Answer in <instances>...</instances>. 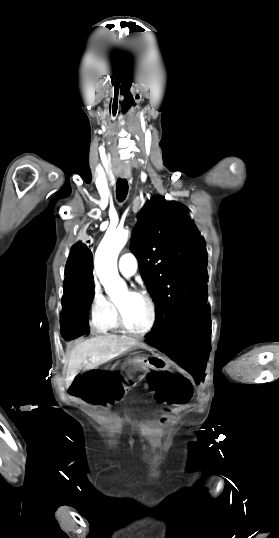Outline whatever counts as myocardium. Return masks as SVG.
<instances>
[{
  "mask_svg": "<svg viewBox=\"0 0 279 538\" xmlns=\"http://www.w3.org/2000/svg\"><path fill=\"white\" fill-rule=\"evenodd\" d=\"M106 223H102L100 227L105 226ZM127 291L133 295L143 298L146 303L148 304L149 310H150V318L149 322L146 325V327L142 330H134L129 327L126 321L125 312H124V305L122 301L117 299V315H118V321L121 329L126 332L127 334L134 336V337H145L147 336L155 327L156 319H157V312H156V306L155 303L150 296V294L145 290H134V289H127Z\"/></svg>",
  "mask_w": 279,
  "mask_h": 538,
  "instance_id": "f54148a6",
  "label": "myocardium"
}]
</instances>
